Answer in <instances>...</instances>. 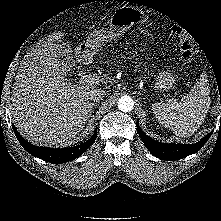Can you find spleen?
Wrapping results in <instances>:
<instances>
[{
    "label": "spleen",
    "instance_id": "1",
    "mask_svg": "<svg viewBox=\"0 0 221 221\" xmlns=\"http://www.w3.org/2000/svg\"><path fill=\"white\" fill-rule=\"evenodd\" d=\"M207 77L201 75L191 91L181 100L159 102L152 106L157 120L179 137L194 134L205 120L210 105Z\"/></svg>",
    "mask_w": 221,
    "mask_h": 221
}]
</instances>
